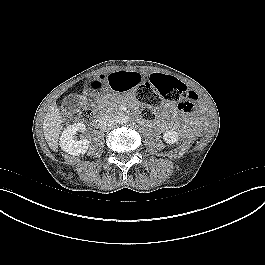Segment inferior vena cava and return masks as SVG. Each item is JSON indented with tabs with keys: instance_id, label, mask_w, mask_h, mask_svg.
<instances>
[{
	"instance_id": "1",
	"label": "inferior vena cava",
	"mask_w": 265,
	"mask_h": 265,
	"mask_svg": "<svg viewBox=\"0 0 265 265\" xmlns=\"http://www.w3.org/2000/svg\"><path fill=\"white\" fill-rule=\"evenodd\" d=\"M98 126L100 130L102 131H109L114 128L115 126V120L112 116L106 114L102 117H100Z\"/></svg>"
}]
</instances>
